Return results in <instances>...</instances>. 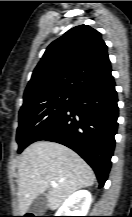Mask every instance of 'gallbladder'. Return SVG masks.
Listing matches in <instances>:
<instances>
[{
	"label": "gallbladder",
	"mask_w": 132,
	"mask_h": 217,
	"mask_svg": "<svg viewBox=\"0 0 132 217\" xmlns=\"http://www.w3.org/2000/svg\"><path fill=\"white\" fill-rule=\"evenodd\" d=\"M46 194V192L42 193L32 201L29 206V213L33 214L34 216H43L48 205Z\"/></svg>",
	"instance_id": "bac80fb5"
}]
</instances>
